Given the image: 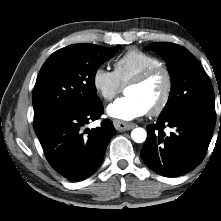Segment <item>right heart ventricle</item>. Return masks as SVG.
I'll list each match as a JSON object with an SVG mask.
<instances>
[{
  "mask_svg": "<svg viewBox=\"0 0 221 221\" xmlns=\"http://www.w3.org/2000/svg\"><path fill=\"white\" fill-rule=\"evenodd\" d=\"M159 65L162 63L158 57L137 48L127 50L113 64L114 73L123 87L144 70Z\"/></svg>",
  "mask_w": 221,
  "mask_h": 221,
  "instance_id": "obj_1",
  "label": "right heart ventricle"
}]
</instances>
